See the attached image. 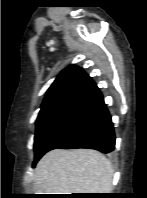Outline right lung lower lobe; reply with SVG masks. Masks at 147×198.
<instances>
[{"mask_svg":"<svg viewBox=\"0 0 147 198\" xmlns=\"http://www.w3.org/2000/svg\"><path fill=\"white\" fill-rule=\"evenodd\" d=\"M56 148H90L103 153L114 150L113 123L98 88L73 106L42 143L33 164L46 152Z\"/></svg>","mask_w":147,"mask_h":198,"instance_id":"obj_1","label":"right lung lower lobe"}]
</instances>
